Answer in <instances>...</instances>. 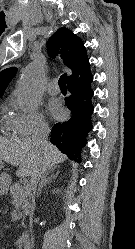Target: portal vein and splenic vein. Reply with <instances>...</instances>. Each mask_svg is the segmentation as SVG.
I'll return each instance as SVG.
<instances>
[{"label":"portal vein and splenic vein","mask_w":135,"mask_h":249,"mask_svg":"<svg viewBox=\"0 0 135 249\" xmlns=\"http://www.w3.org/2000/svg\"><path fill=\"white\" fill-rule=\"evenodd\" d=\"M24 190H25L26 192H30L29 186H28V185H27V186H24Z\"/></svg>","instance_id":"1"}]
</instances>
